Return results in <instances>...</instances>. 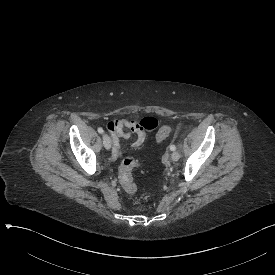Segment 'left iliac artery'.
<instances>
[{
	"label": "left iliac artery",
	"mask_w": 275,
	"mask_h": 275,
	"mask_svg": "<svg viewBox=\"0 0 275 275\" xmlns=\"http://www.w3.org/2000/svg\"><path fill=\"white\" fill-rule=\"evenodd\" d=\"M170 150L171 151H175L176 150V146L175 145H170Z\"/></svg>",
	"instance_id": "44dca946"
}]
</instances>
